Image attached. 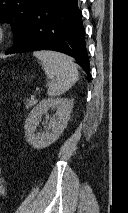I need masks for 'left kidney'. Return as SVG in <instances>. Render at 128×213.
<instances>
[{
    "label": "left kidney",
    "mask_w": 128,
    "mask_h": 213,
    "mask_svg": "<svg viewBox=\"0 0 128 213\" xmlns=\"http://www.w3.org/2000/svg\"><path fill=\"white\" fill-rule=\"evenodd\" d=\"M49 108L56 110L55 115L50 119L48 132L36 134V128L44 113ZM73 109V100L66 98L43 99L34 107L25 121V136L27 142L35 149H43L54 143L63 130L66 128Z\"/></svg>",
    "instance_id": "1"
}]
</instances>
